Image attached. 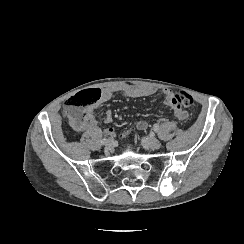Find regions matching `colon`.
Listing matches in <instances>:
<instances>
[{
	"instance_id": "colon-1",
	"label": "colon",
	"mask_w": 244,
	"mask_h": 244,
	"mask_svg": "<svg viewBox=\"0 0 244 244\" xmlns=\"http://www.w3.org/2000/svg\"><path fill=\"white\" fill-rule=\"evenodd\" d=\"M171 102L173 105L188 108L193 105L194 101L192 96L187 91L180 90L174 94ZM66 111L70 118L71 124L76 129L83 128L90 122V117L86 115L84 107L80 105H75L68 101ZM125 135L129 136L130 132L126 131Z\"/></svg>"
}]
</instances>
